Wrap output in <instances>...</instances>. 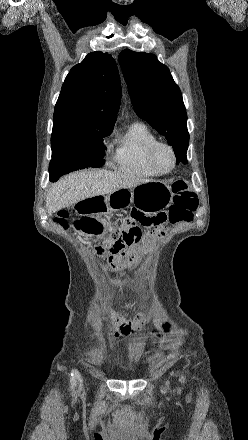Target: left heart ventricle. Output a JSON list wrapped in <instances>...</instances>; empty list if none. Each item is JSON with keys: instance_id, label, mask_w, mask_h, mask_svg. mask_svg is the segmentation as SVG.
<instances>
[{"instance_id": "left-heart-ventricle-1", "label": "left heart ventricle", "mask_w": 248, "mask_h": 440, "mask_svg": "<svg viewBox=\"0 0 248 440\" xmlns=\"http://www.w3.org/2000/svg\"><path fill=\"white\" fill-rule=\"evenodd\" d=\"M157 162L162 169H169L173 163L171 153L165 148L160 149L157 154Z\"/></svg>"}]
</instances>
